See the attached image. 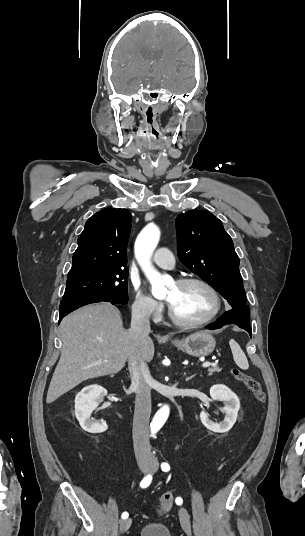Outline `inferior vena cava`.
I'll return each mask as SVG.
<instances>
[{
    "instance_id": "obj_1",
    "label": "inferior vena cava",
    "mask_w": 305,
    "mask_h": 536,
    "mask_svg": "<svg viewBox=\"0 0 305 536\" xmlns=\"http://www.w3.org/2000/svg\"><path fill=\"white\" fill-rule=\"evenodd\" d=\"M150 310L137 306L132 310L130 336L135 342H143L150 334ZM128 368L131 376V390L136 394L133 418V444L137 460H152L149 444V418L151 414V392L148 384L152 380L146 362H137L135 356H129Z\"/></svg>"
}]
</instances>
